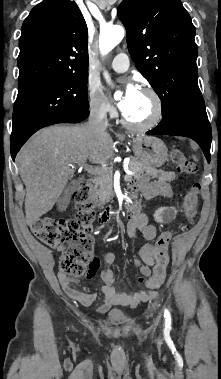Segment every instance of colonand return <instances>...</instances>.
<instances>
[{"instance_id": "obj_1", "label": "colon", "mask_w": 221, "mask_h": 379, "mask_svg": "<svg viewBox=\"0 0 221 379\" xmlns=\"http://www.w3.org/2000/svg\"><path fill=\"white\" fill-rule=\"evenodd\" d=\"M171 161L178 170L187 175L197 172V166L180 150H173ZM200 184L194 183L188 190L183 203L187 222L195 217L199 203ZM77 216L75 219L39 218L31 225L34 235L47 246L62 252L60 270L67 275L82 276L90 266L93 240L91 237L95 221V204L89 190L81 187L74 193ZM185 224L179 229L184 230ZM173 231L166 230L156 240V263L152 275L146 281L150 290L158 289L165 282L169 263L168 246Z\"/></svg>"}]
</instances>
